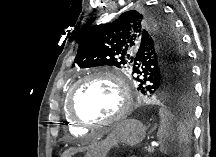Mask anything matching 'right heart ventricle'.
Instances as JSON below:
<instances>
[{"instance_id":"1","label":"right heart ventricle","mask_w":216,"mask_h":157,"mask_svg":"<svg viewBox=\"0 0 216 157\" xmlns=\"http://www.w3.org/2000/svg\"><path fill=\"white\" fill-rule=\"evenodd\" d=\"M66 119L68 121V129L71 133L80 135L85 133V129L82 126L76 124L69 117H66Z\"/></svg>"}]
</instances>
